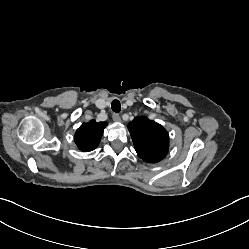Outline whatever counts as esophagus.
<instances>
[{
  "label": "esophagus",
  "instance_id": "34e87169",
  "mask_svg": "<svg viewBox=\"0 0 249 249\" xmlns=\"http://www.w3.org/2000/svg\"><path fill=\"white\" fill-rule=\"evenodd\" d=\"M112 118H113V120H114L115 122H120V121H121V117H120V115L117 114V113H114L113 116H112Z\"/></svg>",
  "mask_w": 249,
  "mask_h": 249
}]
</instances>
